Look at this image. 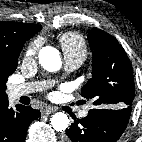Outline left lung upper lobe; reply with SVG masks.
Segmentation results:
<instances>
[{"mask_svg": "<svg viewBox=\"0 0 142 142\" xmlns=\"http://www.w3.org/2000/svg\"><path fill=\"white\" fill-rule=\"evenodd\" d=\"M89 46L93 54L92 78L81 95L96 108H131L135 94L132 66L118 41L103 30L92 28Z\"/></svg>", "mask_w": 142, "mask_h": 142, "instance_id": "left-lung-upper-lobe-1", "label": "left lung upper lobe"}]
</instances>
